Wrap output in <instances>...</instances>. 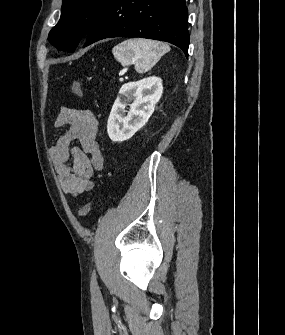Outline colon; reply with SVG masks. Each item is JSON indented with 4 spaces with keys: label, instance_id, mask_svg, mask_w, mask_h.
I'll return each mask as SVG.
<instances>
[{
    "label": "colon",
    "instance_id": "obj_1",
    "mask_svg": "<svg viewBox=\"0 0 285 335\" xmlns=\"http://www.w3.org/2000/svg\"><path fill=\"white\" fill-rule=\"evenodd\" d=\"M71 90L78 97H83L84 96L83 89H82L80 83L77 80H73L72 81V83H71ZM92 208H93V202L92 201L87 202L86 204H84L80 208V210L78 212L79 216L81 218L86 217L90 213V211L92 210Z\"/></svg>",
    "mask_w": 285,
    "mask_h": 335
}]
</instances>
